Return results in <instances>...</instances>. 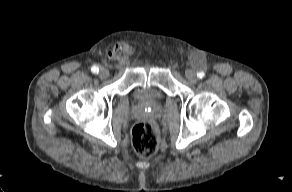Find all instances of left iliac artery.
I'll return each mask as SVG.
<instances>
[{
  "instance_id": "1",
  "label": "left iliac artery",
  "mask_w": 292,
  "mask_h": 192,
  "mask_svg": "<svg viewBox=\"0 0 292 192\" xmlns=\"http://www.w3.org/2000/svg\"><path fill=\"white\" fill-rule=\"evenodd\" d=\"M205 76V73L203 71H200L197 73V77L202 79Z\"/></svg>"
}]
</instances>
